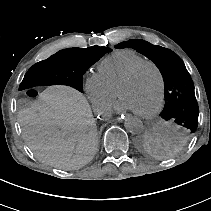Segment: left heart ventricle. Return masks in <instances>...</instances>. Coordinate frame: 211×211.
I'll use <instances>...</instances> for the list:
<instances>
[{"label":"left heart ventricle","mask_w":211,"mask_h":211,"mask_svg":"<svg viewBox=\"0 0 211 211\" xmlns=\"http://www.w3.org/2000/svg\"><path fill=\"white\" fill-rule=\"evenodd\" d=\"M121 99L134 112H148L154 108L159 97V79L151 66L142 67L120 89Z\"/></svg>","instance_id":"left-heart-ventricle-1"}]
</instances>
